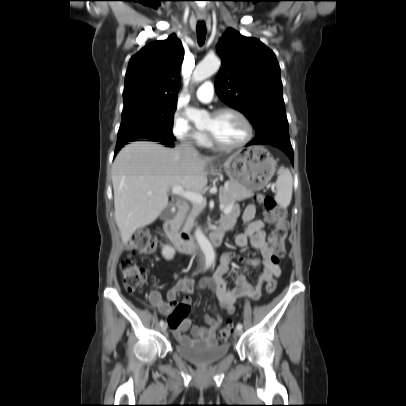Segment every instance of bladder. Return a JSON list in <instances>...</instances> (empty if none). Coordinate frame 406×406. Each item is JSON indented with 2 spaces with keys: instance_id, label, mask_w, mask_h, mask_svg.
Masks as SVG:
<instances>
[{
  "instance_id": "bladder-1",
  "label": "bladder",
  "mask_w": 406,
  "mask_h": 406,
  "mask_svg": "<svg viewBox=\"0 0 406 406\" xmlns=\"http://www.w3.org/2000/svg\"><path fill=\"white\" fill-rule=\"evenodd\" d=\"M175 350L180 357L198 365H207L224 358L230 350L228 344H215L211 346L185 345L181 342L175 344Z\"/></svg>"
}]
</instances>
